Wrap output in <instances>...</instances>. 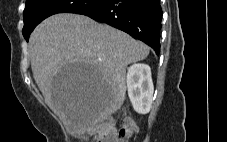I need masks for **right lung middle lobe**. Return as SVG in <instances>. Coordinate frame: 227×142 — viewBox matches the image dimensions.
<instances>
[{
	"mask_svg": "<svg viewBox=\"0 0 227 142\" xmlns=\"http://www.w3.org/2000/svg\"><path fill=\"white\" fill-rule=\"evenodd\" d=\"M106 0H29L23 12V36L28 41L34 28L47 17L57 13H80L102 5Z\"/></svg>",
	"mask_w": 227,
	"mask_h": 142,
	"instance_id": "obj_1",
	"label": "right lung middle lobe"
}]
</instances>
